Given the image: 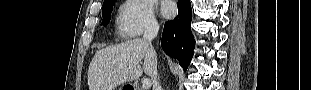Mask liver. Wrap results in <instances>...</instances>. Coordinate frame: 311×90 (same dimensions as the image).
<instances>
[{"label":"liver","mask_w":311,"mask_h":90,"mask_svg":"<svg viewBox=\"0 0 311 90\" xmlns=\"http://www.w3.org/2000/svg\"><path fill=\"white\" fill-rule=\"evenodd\" d=\"M156 61L155 49L140 38L98 50L88 69L89 90H114L127 81L138 79L143 71L151 76Z\"/></svg>","instance_id":"obj_1"}]
</instances>
